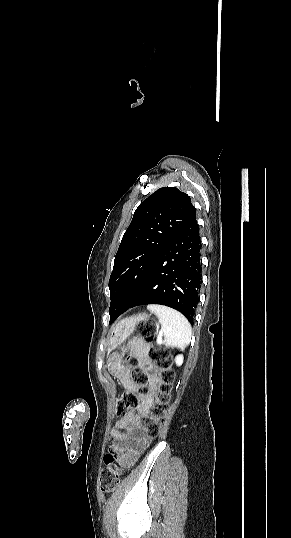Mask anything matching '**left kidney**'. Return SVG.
Returning a JSON list of instances; mask_svg holds the SVG:
<instances>
[{"mask_svg": "<svg viewBox=\"0 0 291 538\" xmlns=\"http://www.w3.org/2000/svg\"><path fill=\"white\" fill-rule=\"evenodd\" d=\"M175 363H176L178 366H181L182 363H183V355H177L176 358H175Z\"/></svg>", "mask_w": 291, "mask_h": 538, "instance_id": "left-kidney-1", "label": "left kidney"}]
</instances>
